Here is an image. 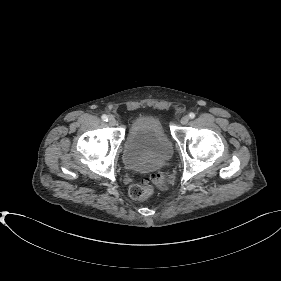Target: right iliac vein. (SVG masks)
I'll list each match as a JSON object with an SVG mask.
<instances>
[{
    "label": "right iliac vein",
    "instance_id": "obj_1",
    "mask_svg": "<svg viewBox=\"0 0 281 281\" xmlns=\"http://www.w3.org/2000/svg\"><path fill=\"white\" fill-rule=\"evenodd\" d=\"M108 123L111 126H115L117 122H116V119L114 117H110L109 120H108Z\"/></svg>",
    "mask_w": 281,
    "mask_h": 281
}]
</instances>
